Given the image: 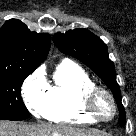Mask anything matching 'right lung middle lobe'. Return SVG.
<instances>
[{"instance_id": "right-lung-middle-lobe-1", "label": "right lung middle lobe", "mask_w": 136, "mask_h": 136, "mask_svg": "<svg viewBox=\"0 0 136 136\" xmlns=\"http://www.w3.org/2000/svg\"><path fill=\"white\" fill-rule=\"evenodd\" d=\"M31 73H0V120H24L29 117L20 90L24 79Z\"/></svg>"}]
</instances>
